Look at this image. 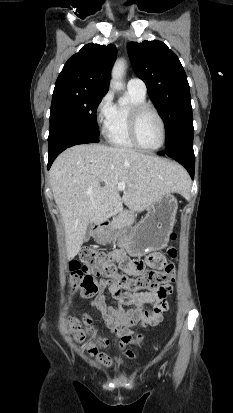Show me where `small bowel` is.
Here are the masks:
<instances>
[{
	"instance_id": "c3829d8e",
	"label": "small bowel",
	"mask_w": 233,
	"mask_h": 413,
	"mask_svg": "<svg viewBox=\"0 0 233 413\" xmlns=\"http://www.w3.org/2000/svg\"><path fill=\"white\" fill-rule=\"evenodd\" d=\"M111 257L119 267V271L126 276H136L145 269V264L150 267L159 268L161 263L166 262L165 257L150 251L146 262L136 261L134 255H125L122 247H115ZM110 292L109 298L116 302V306H107V296L103 293L105 289ZM172 292V286L166 284L155 291L149 292H123L115 283L102 281L99 283L98 294L92 300V305L100 312L106 326L117 337V346L121 349L129 344L139 342L141 335H136L133 328L136 326H155L162 319V313L168 308V296ZM145 304H153L152 311L144 310ZM124 305L131 306L129 310ZM127 356L133 358V350L126 351Z\"/></svg>"
}]
</instances>
